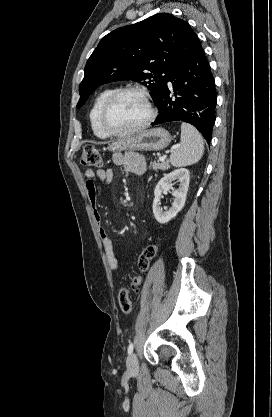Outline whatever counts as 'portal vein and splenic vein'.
Returning <instances> with one entry per match:
<instances>
[{
    "instance_id": "obj_1",
    "label": "portal vein and splenic vein",
    "mask_w": 272,
    "mask_h": 417,
    "mask_svg": "<svg viewBox=\"0 0 272 417\" xmlns=\"http://www.w3.org/2000/svg\"><path fill=\"white\" fill-rule=\"evenodd\" d=\"M166 156L159 157V161L163 162L165 160Z\"/></svg>"
}]
</instances>
